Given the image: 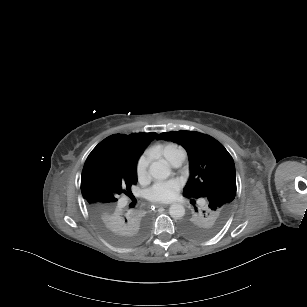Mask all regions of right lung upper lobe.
Instances as JSON below:
<instances>
[{
	"label": "right lung upper lobe",
	"instance_id": "right-lung-upper-lobe-1",
	"mask_svg": "<svg viewBox=\"0 0 307 307\" xmlns=\"http://www.w3.org/2000/svg\"><path fill=\"white\" fill-rule=\"evenodd\" d=\"M156 136V133L111 135L92 150L83 167L81 192L94 222L123 240L143 236L149 225L146 212L135 199L131 201L126 196L137 183L138 158Z\"/></svg>",
	"mask_w": 307,
	"mask_h": 307
}]
</instances>
